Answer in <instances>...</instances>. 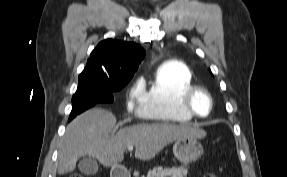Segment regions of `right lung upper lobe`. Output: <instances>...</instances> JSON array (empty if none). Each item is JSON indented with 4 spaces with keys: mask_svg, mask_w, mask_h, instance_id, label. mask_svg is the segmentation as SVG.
Returning <instances> with one entry per match:
<instances>
[{
    "mask_svg": "<svg viewBox=\"0 0 287 177\" xmlns=\"http://www.w3.org/2000/svg\"><path fill=\"white\" fill-rule=\"evenodd\" d=\"M144 56V49L134 42L106 39L91 52L83 73L109 86L130 80Z\"/></svg>",
    "mask_w": 287,
    "mask_h": 177,
    "instance_id": "cb5924a9",
    "label": "right lung upper lobe"
}]
</instances>
